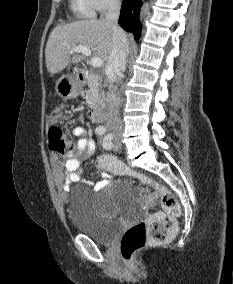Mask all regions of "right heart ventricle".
<instances>
[{"instance_id": "e07e8e85", "label": "right heart ventricle", "mask_w": 233, "mask_h": 284, "mask_svg": "<svg viewBox=\"0 0 233 284\" xmlns=\"http://www.w3.org/2000/svg\"><path fill=\"white\" fill-rule=\"evenodd\" d=\"M73 9L84 18L95 16V10L90 0H73Z\"/></svg>"}]
</instances>
